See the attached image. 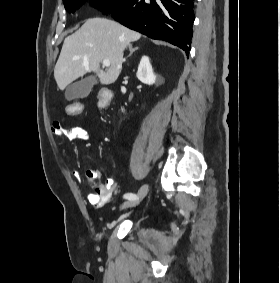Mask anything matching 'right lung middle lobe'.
Masks as SVG:
<instances>
[{"label":"right lung middle lobe","instance_id":"dd1d6c3e","mask_svg":"<svg viewBox=\"0 0 280 283\" xmlns=\"http://www.w3.org/2000/svg\"><path fill=\"white\" fill-rule=\"evenodd\" d=\"M86 0H63L65 9L69 13H74L76 8ZM129 0H91V4L96 6L104 13H113L122 9Z\"/></svg>","mask_w":280,"mask_h":283}]
</instances>
